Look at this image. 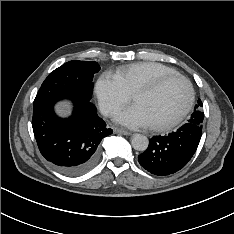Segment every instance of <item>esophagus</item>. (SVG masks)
<instances>
[{
	"mask_svg": "<svg viewBox=\"0 0 234 234\" xmlns=\"http://www.w3.org/2000/svg\"><path fill=\"white\" fill-rule=\"evenodd\" d=\"M114 131H115L116 133H120V134L126 135V136H129V135L132 134L131 132H129V131H127V130H124V129H120V128H115Z\"/></svg>",
	"mask_w": 234,
	"mask_h": 234,
	"instance_id": "esophagus-1",
	"label": "esophagus"
}]
</instances>
